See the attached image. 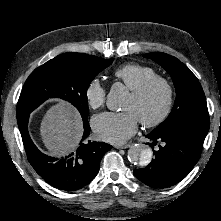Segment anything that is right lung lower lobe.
<instances>
[{"label":"right lung lower lobe","mask_w":221,"mask_h":221,"mask_svg":"<svg viewBox=\"0 0 221 221\" xmlns=\"http://www.w3.org/2000/svg\"><path fill=\"white\" fill-rule=\"evenodd\" d=\"M28 119L29 114L18 120L28 161L48 184L60 190L74 191L95 178L103 155L112 146L104 142L84 141L90 131L88 120L83 121L85 131L76 151L64 158H52L41 153L32 142L27 130Z\"/></svg>","instance_id":"98d812e1"}]
</instances>
